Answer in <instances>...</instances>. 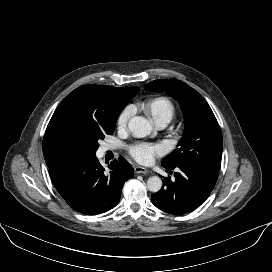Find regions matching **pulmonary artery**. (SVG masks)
Here are the masks:
<instances>
[{"instance_id":"e3ab8cb5","label":"pulmonary artery","mask_w":272,"mask_h":272,"mask_svg":"<svg viewBox=\"0 0 272 272\" xmlns=\"http://www.w3.org/2000/svg\"><path fill=\"white\" fill-rule=\"evenodd\" d=\"M166 125H167V124L164 123V122H161V123L156 124V126H157L158 128H160V129L164 128Z\"/></svg>"}]
</instances>
